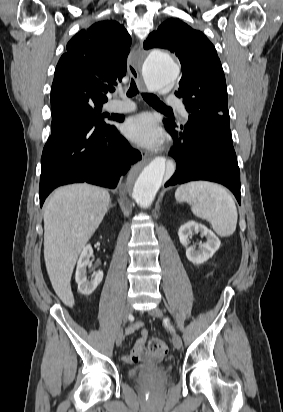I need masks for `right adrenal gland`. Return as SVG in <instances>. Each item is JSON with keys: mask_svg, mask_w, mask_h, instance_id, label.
Wrapping results in <instances>:
<instances>
[{"mask_svg": "<svg viewBox=\"0 0 283 412\" xmlns=\"http://www.w3.org/2000/svg\"><path fill=\"white\" fill-rule=\"evenodd\" d=\"M114 206H115V204H111V201H110V204H109L108 210H109L110 208L114 207Z\"/></svg>", "mask_w": 283, "mask_h": 412, "instance_id": "2a0ac1e0", "label": "right adrenal gland"}]
</instances>
